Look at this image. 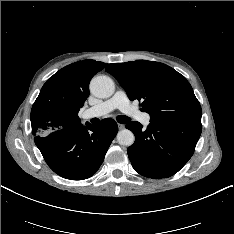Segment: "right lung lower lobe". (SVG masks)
<instances>
[{"instance_id":"1","label":"right lung lower lobe","mask_w":234,"mask_h":234,"mask_svg":"<svg viewBox=\"0 0 234 234\" xmlns=\"http://www.w3.org/2000/svg\"><path fill=\"white\" fill-rule=\"evenodd\" d=\"M86 125L58 129L34 138L48 166L63 178L91 177L101 166L118 132L117 123L111 118L97 126Z\"/></svg>"}]
</instances>
